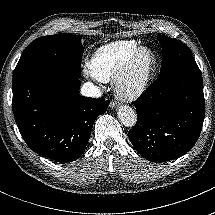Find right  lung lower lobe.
<instances>
[{"instance_id": "obj_1", "label": "right lung lower lobe", "mask_w": 215, "mask_h": 215, "mask_svg": "<svg viewBox=\"0 0 215 215\" xmlns=\"http://www.w3.org/2000/svg\"><path fill=\"white\" fill-rule=\"evenodd\" d=\"M79 77L40 72L13 82V113L26 144L56 162H72L84 152L96 118L108 100L79 95Z\"/></svg>"}]
</instances>
